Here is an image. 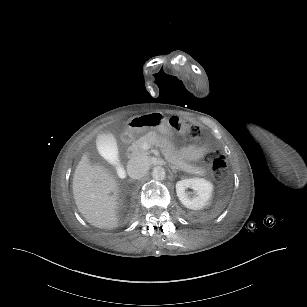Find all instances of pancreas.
<instances>
[{"label": "pancreas", "mask_w": 307, "mask_h": 307, "mask_svg": "<svg viewBox=\"0 0 307 307\" xmlns=\"http://www.w3.org/2000/svg\"><path fill=\"white\" fill-rule=\"evenodd\" d=\"M153 143L155 145H158V147L163 148L165 150L170 149L171 144L168 141H165L161 138L159 135H144L137 139L133 144L132 148L130 149L132 151L133 156H146L147 152L142 151L143 145L145 143ZM165 158L172 163L174 166L179 168L180 170H185L188 174H193L194 172L197 175H202L204 173V168L202 166H197L196 168L193 165H188L185 161H183L180 157H178L176 154L167 151L164 153Z\"/></svg>", "instance_id": "cf45deb5"}]
</instances>
